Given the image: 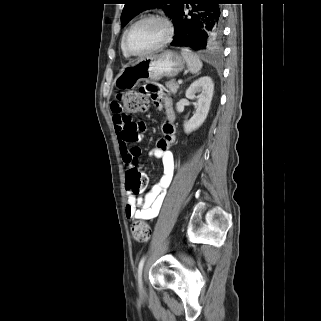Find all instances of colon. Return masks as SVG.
<instances>
[{"instance_id":"obj_1","label":"colon","mask_w":321,"mask_h":321,"mask_svg":"<svg viewBox=\"0 0 321 321\" xmlns=\"http://www.w3.org/2000/svg\"><path fill=\"white\" fill-rule=\"evenodd\" d=\"M148 98H142L141 93L125 92L118 95V108L125 117L143 113L148 109ZM147 185V177L140 170L138 162L134 161L127 168L126 187L134 193L139 194ZM131 233L138 242H147L151 237V227L143 221H137L132 225Z\"/></svg>"}]
</instances>
